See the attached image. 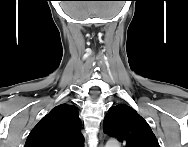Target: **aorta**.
I'll use <instances>...</instances> for the list:
<instances>
[{
    "label": "aorta",
    "instance_id": "1",
    "mask_svg": "<svg viewBox=\"0 0 188 147\" xmlns=\"http://www.w3.org/2000/svg\"><path fill=\"white\" fill-rule=\"evenodd\" d=\"M106 147H119V142L115 139H110L107 141Z\"/></svg>",
    "mask_w": 188,
    "mask_h": 147
}]
</instances>
